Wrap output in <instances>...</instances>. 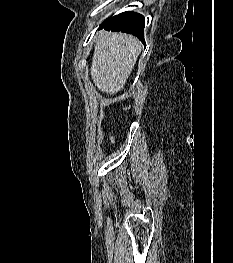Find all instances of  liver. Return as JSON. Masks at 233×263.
Returning a JSON list of instances; mask_svg holds the SVG:
<instances>
[{
    "mask_svg": "<svg viewBox=\"0 0 233 263\" xmlns=\"http://www.w3.org/2000/svg\"><path fill=\"white\" fill-rule=\"evenodd\" d=\"M141 50V43L133 36L101 31L90 69L95 86L110 95L121 91Z\"/></svg>",
    "mask_w": 233,
    "mask_h": 263,
    "instance_id": "1",
    "label": "liver"
}]
</instances>
